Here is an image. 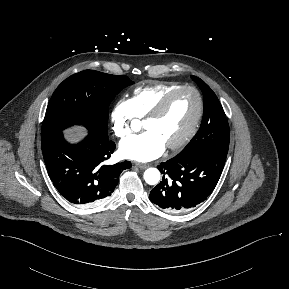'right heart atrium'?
I'll return each mask as SVG.
<instances>
[{
  "instance_id": "right-heart-atrium-1",
  "label": "right heart atrium",
  "mask_w": 289,
  "mask_h": 289,
  "mask_svg": "<svg viewBox=\"0 0 289 289\" xmlns=\"http://www.w3.org/2000/svg\"><path fill=\"white\" fill-rule=\"evenodd\" d=\"M135 119L131 101L120 99L113 106L110 113L113 134L118 138H124L132 131V123Z\"/></svg>"
}]
</instances>
